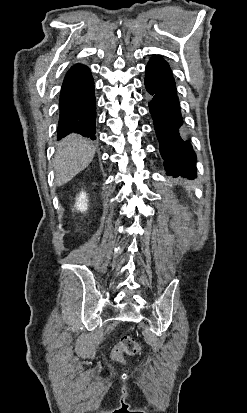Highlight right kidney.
Here are the masks:
<instances>
[{
    "label": "right kidney",
    "instance_id": "right-kidney-1",
    "mask_svg": "<svg viewBox=\"0 0 247 413\" xmlns=\"http://www.w3.org/2000/svg\"><path fill=\"white\" fill-rule=\"evenodd\" d=\"M88 198L86 196V192H80V194H78L77 196V200H76V209L77 211H81V213H83V211H87L88 209Z\"/></svg>",
    "mask_w": 247,
    "mask_h": 413
}]
</instances>
